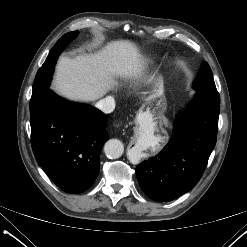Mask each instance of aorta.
Here are the masks:
<instances>
[{
    "mask_svg": "<svg viewBox=\"0 0 247 247\" xmlns=\"http://www.w3.org/2000/svg\"><path fill=\"white\" fill-rule=\"evenodd\" d=\"M124 151L123 143L117 139H110L104 145V153L108 158L117 159Z\"/></svg>",
    "mask_w": 247,
    "mask_h": 247,
    "instance_id": "aorta-1",
    "label": "aorta"
}]
</instances>
